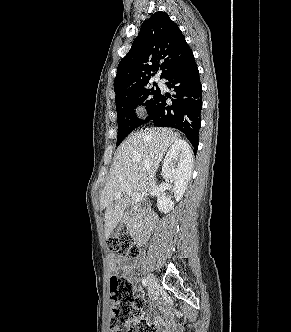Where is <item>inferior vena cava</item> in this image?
Masks as SVG:
<instances>
[{
    "label": "inferior vena cava",
    "instance_id": "obj_1",
    "mask_svg": "<svg viewBox=\"0 0 291 332\" xmlns=\"http://www.w3.org/2000/svg\"><path fill=\"white\" fill-rule=\"evenodd\" d=\"M149 182H150V189H149L150 194H151V195H154V194L156 193V183H155V178L150 179Z\"/></svg>",
    "mask_w": 291,
    "mask_h": 332
}]
</instances>
